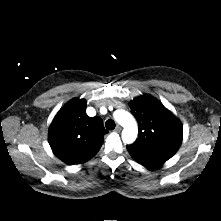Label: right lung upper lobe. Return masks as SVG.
I'll use <instances>...</instances> for the list:
<instances>
[{
  "label": "right lung upper lobe",
  "mask_w": 221,
  "mask_h": 221,
  "mask_svg": "<svg viewBox=\"0 0 221 221\" xmlns=\"http://www.w3.org/2000/svg\"><path fill=\"white\" fill-rule=\"evenodd\" d=\"M108 131L100 117L86 114V101L73 99L59 110L49 129V144L64 163H85L96 155Z\"/></svg>",
  "instance_id": "right-lung-upper-lobe-1"
}]
</instances>
